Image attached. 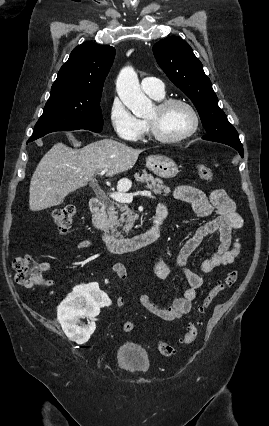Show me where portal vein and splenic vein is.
Returning a JSON list of instances; mask_svg holds the SVG:
<instances>
[{"instance_id":"obj_1","label":"portal vein and splenic vein","mask_w":269,"mask_h":426,"mask_svg":"<svg viewBox=\"0 0 269 426\" xmlns=\"http://www.w3.org/2000/svg\"><path fill=\"white\" fill-rule=\"evenodd\" d=\"M107 172V170H102L100 172V175H103ZM135 195H142V196H152V193L150 191H140V192H135V193H126L124 191L121 190L120 184H119V192H112L109 194V196L117 201V202H121V203H130L133 200V196Z\"/></svg>"}]
</instances>
